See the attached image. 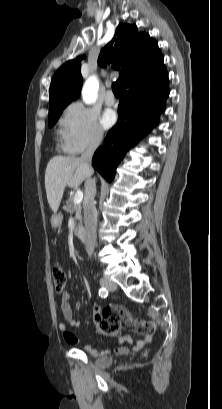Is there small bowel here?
Listing matches in <instances>:
<instances>
[{"label":"small bowel","instance_id":"obj_1","mask_svg":"<svg viewBox=\"0 0 222 409\" xmlns=\"http://www.w3.org/2000/svg\"><path fill=\"white\" fill-rule=\"evenodd\" d=\"M61 313L64 321L58 323V329L63 333L64 340L70 346H77L80 343L78 337L68 330V326L71 328H79L80 321L74 317L73 306L71 303V295L69 292H63L60 299ZM75 307L79 309L80 304H76ZM112 318L119 324L120 329L130 330L136 333L144 334V336L137 342L132 344V348L135 350L141 349L144 345L149 343L152 339L151 332H156L158 327L155 322H147L142 320L132 319L126 310L120 307H112ZM120 342H132L128 335H122ZM85 350L92 356L98 357L114 352L118 355H125L129 352V349L121 345L114 350H98L91 346H86Z\"/></svg>","mask_w":222,"mask_h":409}]
</instances>
